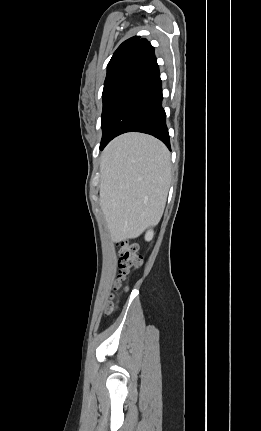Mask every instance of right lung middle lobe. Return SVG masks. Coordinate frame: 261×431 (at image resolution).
Masks as SVG:
<instances>
[{"label":"right lung middle lobe","mask_w":261,"mask_h":431,"mask_svg":"<svg viewBox=\"0 0 261 431\" xmlns=\"http://www.w3.org/2000/svg\"><path fill=\"white\" fill-rule=\"evenodd\" d=\"M139 73L140 72L138 71H130L104 83L102 93L103 110L101 116V127L103 135L100 144L101 150L105 147L108 141L109 129L116 109Z\"/></svg>","instance_id":"right-lung-middle-lobe-1"}]
</instances>
